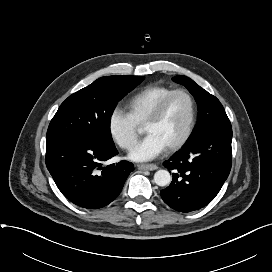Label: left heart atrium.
Masks as SVG:
<instances>
[{"label": "left heart atrium", "mask_w": 272, "mask_h": 272, "mask_svg": "<svg viewBox=\"0 0 272 272\" xmlns=\"http://www.w3.org/2000/svg\"><path fill=\"white\" fill-rule=\"evenodd\" d=\"M165 149L166 146L156 135L148 134L133 148L129 157L133 161L144 162L159 156Z\"/></svg>", "instance_id": "39dd6f15"}]
</instances>
